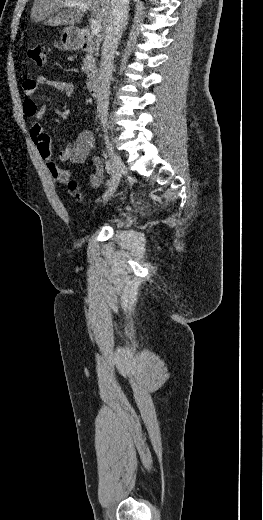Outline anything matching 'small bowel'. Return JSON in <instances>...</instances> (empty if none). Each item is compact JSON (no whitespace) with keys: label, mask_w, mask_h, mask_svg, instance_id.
<instances>
[{"label":"small bowel","mask_w":263,"mask_h":520,"mask_svg":"<svg viewBox=\"0 0 263 520\" xmlns=\"http://www.w3.org/2000/svg\"><path fill=\"white\" fill-rule=\"evenodd\" d=\"M41 86L56 88L66 96L73 95L75 86L69 81L53 80L45 77L27 79L23 83V109L25 115L32 119L29 129L30 137L36 145L39 155L46 162V167L52 178L62 185H67L71 181V174L66 170L60 169L53 160L49 137L43 131L39 122L46 114V107L38 105L34 98L35 92ZM94 146L95 138L93 133L89 130H84L78 135L75 142L65 143L59 147L57 159L60 162L82 163ZM92 167L93 172L90 175V185L93 188H97L104 176L102 160L99 157H93Z\"/></svg>","instance_id":"1"}]
</instances>
